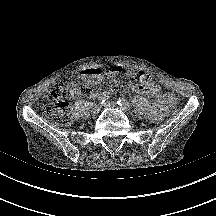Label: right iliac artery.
<instances>
[{"label": "right iliac artery", "mask_w": 216, "mask_h": 216, "mask_svg": "<svg viewBox=\"0 0 216 216\" xmlns=\"http://www.w3.org/2000/svg\"><path fill=\"white\" fill-rule=\"evenodd\" d=\"M110 98V96L106 93H103L100 97H99V102L100 103H105L108 99Z\"/></svg>", "instance_id": "1"}]
</instances>
